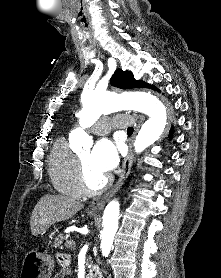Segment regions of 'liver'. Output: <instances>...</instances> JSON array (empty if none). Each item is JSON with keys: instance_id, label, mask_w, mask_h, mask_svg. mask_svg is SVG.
<instances>
[{"instance_id": "liver-1", "label": "liver", "mask_w": 221, "mask_h": 278, "mask_svg": "<svg viewBox=\"0 0 221 278\" xmlns=\"http://www.w3.org/2000/svg\"><path fill=\"white\" fill-rule=\"evenodd\" d=\"M83 207V203L66 196L44 195L32 211L30 218L32 235L38 236L55 223L72 218Z\"/></svg>"}]
</instances>
